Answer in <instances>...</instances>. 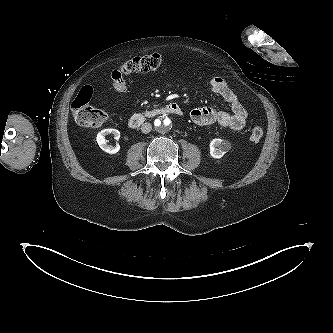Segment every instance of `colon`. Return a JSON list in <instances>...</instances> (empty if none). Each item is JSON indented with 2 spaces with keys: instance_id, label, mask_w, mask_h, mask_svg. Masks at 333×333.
I'll return each mask as SVG.
<instances>
[{
  "instance_id": "colon-1",
  "label": "colon",
  "mask_w": 333,
  "mask_h": 333,
  "mask_svg": "<svg viewBox=\"0 0 333 333\" xmlns=\"http://www.w3.org/2000/svg\"><path fill=\"white\" fill-rule=\"evenodd\" d=\"M165 63V58L159 54L137 56L125 62L120 68L111 72L112 86L116 91L126 90V77L137 72L156 70ZM94 90L91 86L83 87L72 102V113L77 124L84 127L99 126L106 122L108 114L91 105ZM264 130L256 125L251 129L250 139L258 142L262 139Z\"/></svg>"
}]
</instances>
